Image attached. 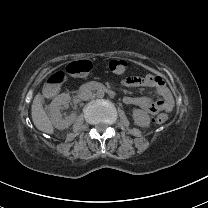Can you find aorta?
I'll return each instance as SVG.
<instances>
[{
    "instance_id": "1",
    "label": "aorta",
    "mask_w": 208,
    "mask_h": 208,
    "mask_svg": "<svg viewBox=\"0 0 208 208\" xmlns=\"http://www.w3.org/2000/svg\"><path fill=\"white\" fill-rule=\"evenodd\" d=\"M104 95H105V93H104L103 90H98V91L96 92V96H97L98 98H103Z\"/></svg>"
}]
</instances>
